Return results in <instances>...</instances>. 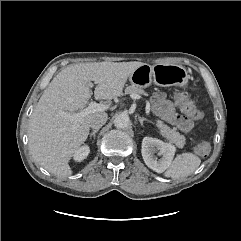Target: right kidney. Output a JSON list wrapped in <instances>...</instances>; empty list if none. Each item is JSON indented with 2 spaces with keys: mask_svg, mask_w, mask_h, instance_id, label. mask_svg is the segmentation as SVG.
<instances>
[{
  "mask_svg": "<svg viewBox=\"0 0 241 241\" xmlns=\"http://www.w3.org/2000/svg\"><path fill=\"white\" fill-rule=\"evenodd\" d=\"M89 153H90L89 146H87V145L82 146L78 150H76V152L74 154V160L80 162V161L84 160L88 156Z\"/></svg>",
  "mask_w": 241,
  "mask_h": 241,
  "instance_id": "obj_1",
  "label": "right kidney"
}]
</instances>
